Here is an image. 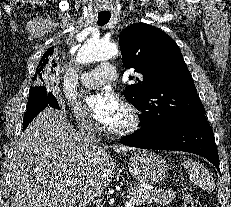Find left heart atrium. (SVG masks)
Here are the masks:
<instances>
[{"label": "left heart atrium", "instance_id": "39dd6f15", "mask_svg": "<svg viewBox=\"0 0 231 207\" xmlns=\"http://www.w3.org/2000/svg\"><path fill=\"white\" fill-rule=\"evenodd\" d=\"M87 104L95 119L102 125L108 126L122 112L123 104L112 91L103 90L87 98Z\"/></svg>", "mask_w": 231, "mask_h": 207}]
</instances>
